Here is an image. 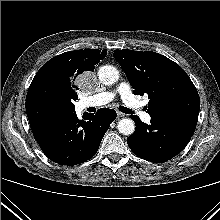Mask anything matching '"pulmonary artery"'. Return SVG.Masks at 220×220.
I'll use <instances>...</instances> for the list:
<instances>
[{"mask_svg":"<svg viewBox=\"0 0 220 220\" xmlns=\"http://www.w3.org/2000/svg\"><path fill=\"white\" fill-rule=\"evenodd\" d=\"M116 94H119L124 104L144 122L148 123L151 120L150 115L143 109V103L135 97L127 82H121L114 91H106L90 96L86 99V104L88 106L104 105L112 101Z\"/></svg>","mask_w":220,"mask_h":220,"instance_id":"1","label":"pulmonary artery"}]
</instances>
